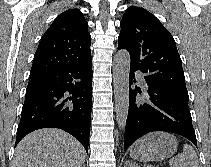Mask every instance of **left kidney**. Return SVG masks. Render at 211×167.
<instances>
[{"instance_id": "5707ae66", "label": "left kidney", "mask_w": 211, "mask_h": 167, "mask_svg": "<svg viewBox=\"0 0 211 167\" xmlns=\"http://www.w3.org/2000/svg\"><path fill=\"white\" fill-rule=\"evenodd\" d=\"M125 167H139L137 164H135V163H132V162H126L125 163Z\"/></svg>"}]
</instances>
